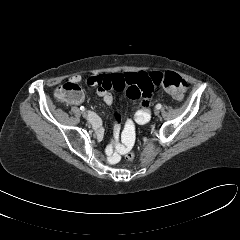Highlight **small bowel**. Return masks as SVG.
<instances>
[{
    "label": "small bowel",
    "instance_id": "1",
    "mask_svg": "<svg viewBox=\"0 0 240 240\" xmlns=\"http://www.w3.org/2000/svg\"><path fill=\"white\" fill-rule=\"evenodd\" d=\"M82 81L81 75H73L70 82L79 83ZM86 83L91 86H97V94L103 99L107 105H111L114 101L112 91H123L126 89L127 96L131 99H141V107L134 113V121L138 124H146L150 118V101L154 92L155 85L153 84L150 75L146 72H126L113 73L105 75H95L86 79ZM83 102V96L80 99L71 101L73 105H79ZM89 119L93 127L96 129L98 136L103 135V127L101 119L94 113H89ZM120 116L115 113L113 117V134L116 138L120 132ZM134 124L132 120H128L125 125V132H133ZM121 153H124V147L118 148Z\"/></svg>",
    "mask_w": 240,
    "mask_h": 240
}]
</instances>
